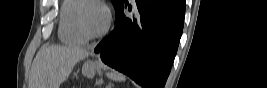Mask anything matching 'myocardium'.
<instances>
[{"label":"myocardium","instance_id":"1","mask_svg":"<svg viewBox=\"0 0 267 88\" xmlns=\"http://www.w3.org/2000/svg\"><path fill=\"white\" fill-rule=\"evenodd\" d=\"M95 4L99 7H101L105 14H106V22L103 26V28L96 32V33H92V32H89L86 27L84 26V23H83V19H82V10L84 8V6L86 4ZM77 25H78V28L81 32V34L86 38V39H96V38H100L102 36H104L109 28H110V25H111V21H112V16H111V13H110V10L104 5L102 4L101 2L99 1H94V0H90V1H84L78 8H77Z\"/></svg>","mask_w":267,"mask_h":88}]
</instances>
